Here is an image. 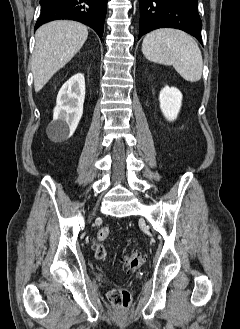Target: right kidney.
I'll return each mask as SVG.
<instances>
[{"mask_svg":"<svg viewBox=\"0 0 240 329\" xmlns=\"http://www.w3.org/2000/svg\"><path fill=\"white\" fill-rule=\"evenodd\" d=\"M85 79L81 73L72 76L60 89L49 133L59 139H67L75 132L83 114Z\"/></svg>","mask_w":240,"mask_h":329,"instance_id":"obj_1","label":"right kidney"}]
</instances>
